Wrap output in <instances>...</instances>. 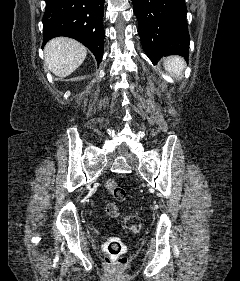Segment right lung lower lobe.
<instances>
[{"mask_svg":"<svg viewBox=\"0 0 240 281\" xmlns=\"http://www.w3.org/2000/svg\"><path fill=\"white\" fill-rule=\"evenodd\" d=\"M45 1L43 46L54 37H71L84 44L99 64L104 49V0Z\"/></svg>","mask_w":240,"mask_h":281,"instance_id":"98d812e1","label":"right lung lower lobe"}]
</instances>
